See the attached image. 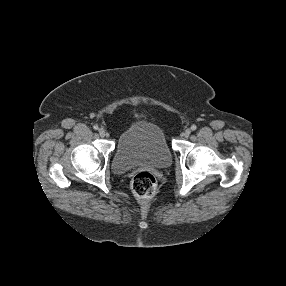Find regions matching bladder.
<instances>
[{
  "instance_id": "obj_1",
  "label": "bladder",
  "mask_w": 286,
  "mask_h": 286,
  "mask_svg": "<svg viewBox=\"0 0 286 286\" xmlns=\"http://www.w3.org/2000/svg\"><path fill=\"white\" fill-rule=\"evenodd\" d=\"M172 154L162 129L148 121H132L120 136L113 155L112 166L123 174L133 168L148 166L166 168Z\"/></svg>"
}]
</instances>
